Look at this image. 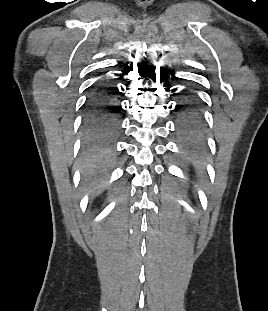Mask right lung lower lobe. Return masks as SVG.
<instances>
[{
  "instance_id": "1",
  "label": "right lung lower lobe",
  "mask_w": 268,
  "mask_h": 311,
  "mask_svg": "<svg viewBox=\"0 0 268 311\" xmlns=\"http://www.w3.org/2000/svg\"><path fill=\"white\" fill-rule=\"evenodd\" d=\"M119 103L116 94L108 86H100L88 99L83 129L93 142L105 141L120 131Z\"/></svg>"
}]
</instances>
